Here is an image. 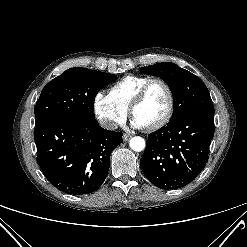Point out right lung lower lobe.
<instances>
[{
	"mask_svg": "<svg viewBox=\"0 0 247 247\" xmlns=\"http://www.w3.org/2000/svg\"><path fill=\"white\" fill-rule=\"evenodd\" d=\"M37 163L59 190L73 195L96 191L104 182L112 150L122 134L95 119L59 116L36 123Z\"/></svg>",
	"mask_w": 247,
	"mask_h": 247,
	"instance_id": "right-lung-lower-lobe-1",
	"label": "right lung lower lobe"
}]
</instances>
